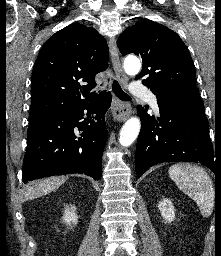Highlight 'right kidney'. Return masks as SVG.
Returning <instances> with one entry per match:
<instances>
[{
	"instance_id": "obj_1",
	"label": "right kidney",
	"mask_w": 221,
	"mask_h": 256,
	"mask_svg": "<svg viewBox=\"0 0 221 256\" xmlns=\"http://www.w3.org/2000/svg\"><path fill=\"white\" fill-rule=\"evenodd\" d=\"M75 207H67L65 208L64 211V215H63V221L64 223H66L67 225H71V224H77L78 222V217L75 213Z\"/></svg>"
}]
</instances>
